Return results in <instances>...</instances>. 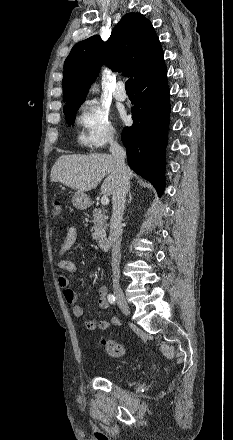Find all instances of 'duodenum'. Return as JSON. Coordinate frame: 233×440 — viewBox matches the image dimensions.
<instances>
[{
  "label": "duodenum",
  "instance_id": "obj_1",
  "mask_svg": "<svg viewBox=\"0 0 233 440\" xmlns=\"http://www.w3.org/2000/svg\"><path fill=\"white\" fill-rule=\"evenodd\" d=\"M111 242L107 237H100L99 246L103 250H107L110 248Z\"/></svg>",
  "mask_w": 233,
  "mask_h": 440
}]
</instances>
